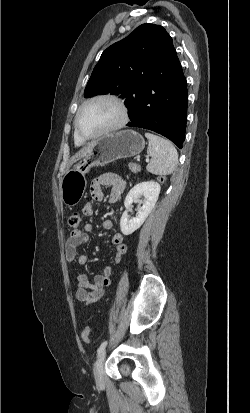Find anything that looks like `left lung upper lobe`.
Wrapping results in <instances>:
<instances>
[{
    "label": "left lung upper lobe",
    "instance_id": "5c2ea615",
    "mask_svg": "<svg viewBox=\"0 0 250 413\" xmlns=\"http://www.w3.org/2000/svg\"><path fill=\"white\" fill-rule=\"evenodd\" d=\"M172 48V38L162 26L140 25L102 53L84 96L120 95L128 107L137 98L142 82L165 69Z\"/></svg>",
    "mask_w": 250,
    "mask_h": 413
}]
</instances>
